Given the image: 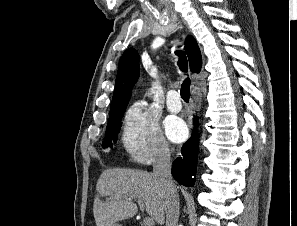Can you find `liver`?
<instances>
[{"label": "liver", "instance_id": "obj_1", "mask_svg": "<svg viewBox=\"0 0 297 226\" xmlns=\"http://www.w3.org/2000/svg\"><path fill=\"white\" fill-rule=\"evenodd\" d=\"M96 191L93 204L96 226H114L136 215L134 199L144 201L146 211L159 225L165 222L164 190L153 174L134 169H107L100 175ZM107 196L109 201L100 199Z\"/></svg>", "mask_w": 297, "mask_h": 226}]
</instances>
